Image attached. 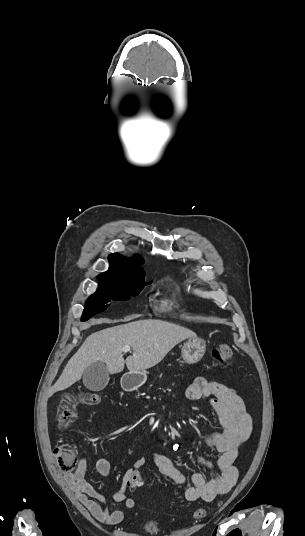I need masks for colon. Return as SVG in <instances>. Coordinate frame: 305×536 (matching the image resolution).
I'll return each mask as SVG.
<instances>
[{"label": "colon", "mask_w": 305, "mask_h": 536, "mask_svg": "<svg viewBox=\"0 0 305 536\" xmlns=\"http://www.w3.org/2000/svg\"><path fill=\"white\" fill-rule=\"evenodd\" d=\"M211 355L215 360L225 362L232 358L233 350L228 343H220L213 348ZM80 401L87 406H96L101 402V395L96 392L84 393L81 396ZM76 405L77 400L73 394L67 393L62 397L56 413V422L61 430L66 429L76 420ZM54 455L58 461V466L63 473L76 471L77 452L75 445L56 446L54 448ZM128 474L132 477L128 480V483L134 487L139 486L144 480L143 475L140 474L135 467L130 468ZM194 515L197 519H201L206 516V511L197 509Z\"/></svg>", "instance_id": "obj_1"}]
</instances>
